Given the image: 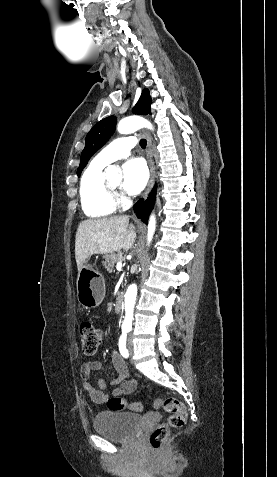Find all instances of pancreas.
Segmentation results:
<instances>
[{
  "label": "pancreas",
  "instance_id": "1",
  "mask_svg": "<svg viewBox=\"0 0 277 477\" xmlns=\"http://www.w3.org/2000/svg\"><path fill=\"white\" fill-rule=\"evenodd\" d=\"M103 266L106 268L107 271H112L115 264L121 260L120 253H112L110 255H106L104 257Z\"/></svg>",
  "mask_w": 277,
  "mask_h": 477
}]
</instances>
